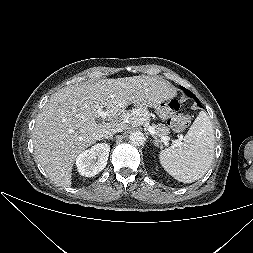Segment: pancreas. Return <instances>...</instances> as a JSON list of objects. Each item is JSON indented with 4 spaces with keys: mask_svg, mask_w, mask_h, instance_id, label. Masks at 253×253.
I'll list each match as a JSON object with an SVG mask.
<instances>
[{
    "mask_svg": "<svg viewBox=\"0 0 253 253\" xmlns=\"http://www.w3.org/2000/svg\"><path fill=\"white\" fill-rule=\"evenodd\" d=\"M154 128L158 136H166L169 133V129L165 125H155Z\"/></svg>",
    "mask_w": 253,
    "mask_h": 253,
    "instance_id": "pancreas-1",
    "label": "pancreas"
}]
</instances>
